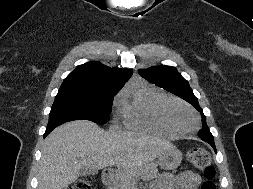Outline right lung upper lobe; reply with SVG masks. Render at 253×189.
Wrapping results in <instances>:
<instances>
[{
	"instance_id": "cb5924a9",
	"label": "right lung upper lobe",
	"mask_w": 253,
	"mask_h": 189,
	"mask_svg": "<svg viewBox=\"0 0 253 189\" xmlns=\"http://www.w3.org/2000/svg\"><path fill=\"white\" fill-rule=\"evenodd\" d=\"M132 73V70L126 68H110L99 62H88L77 66L64 79L60 89L120 90Z\"/></svg>"
}]
</instances>
